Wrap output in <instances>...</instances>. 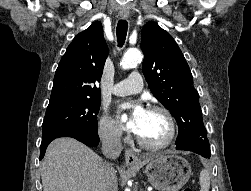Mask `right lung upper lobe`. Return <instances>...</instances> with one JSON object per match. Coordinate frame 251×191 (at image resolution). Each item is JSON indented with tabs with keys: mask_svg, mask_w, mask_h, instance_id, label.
Listing matches in <instances>:
<instances>
[{
	"mask_svg": "<svg viewBox=\"0 0 251 191\" xmlns=\"http://www.w3.org/2000/svg\"><path fill=\"white\" fill-rule=\"evenodd\" d=\"M108 47L102 24L96 21L75 36L55 73L48 106L60 103L100 99V82Z\"/></svg>",
	"mask_w": 251,
	"mask_h": 191,
	"instance_id": "cb5924a9",
	"label": "right lung upper lobe"
}]
</instances>
